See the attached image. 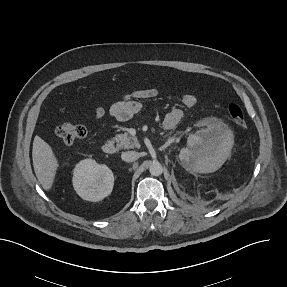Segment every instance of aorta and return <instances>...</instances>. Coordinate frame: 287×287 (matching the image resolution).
I'll list each match as a JSON object with an SVG mask.
<instances>
[{
	"mask_svg": "<svg viewBox=\"0 0 287 287\" xmlns=\"http://www.w3.org/2000/svg\"><path fill=\"white\" fill-rule=\"evenodd\" d=\"M149 171L152 176H160L163 173V167L160 162L154 161L151 163Z\"/></svg>",
	"mask_w": 287,
	"mask_h": 287,
	"instance_id": "aorta-1",
	"label": "aorta"
}]
</instances>
